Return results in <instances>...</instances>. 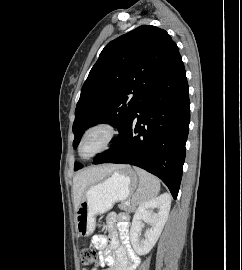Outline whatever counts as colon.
<instances>
[{
  "mask_svg": "<svg viewBox=\"0 0 242 270\" xmlns=\"http://www.w3.org/2000/svg\"><path fill=\"white\" fill-rule=\"evenodd\" d=\"M81 263L86 267L94 266L97 264L98 255L96 250L91 246H84L80 250Z\"/></svg>",
  "mask_w": 242,
  "mask_h": 270,
  "instance_id": "1",
  "label": "colon"
}]
</instances>
